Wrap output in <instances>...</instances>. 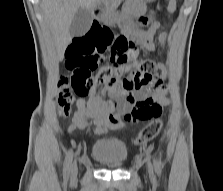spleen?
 Here are the masks:
<instances>
[{
  "instance_id": "spleen-1",
  "label": "spleen",
  "mask_w": 223,
  "mask_h": 191,
  "mask_svg": "<svg viewBox=\"0 0 223 191\" xmlns=\"http://www.w3.org/2000/svg\"><path fill=\"white\" fill-rule=\"evenodd\" d=\"M175 6H176L175 0H171V2H170V9H171V11H174Z\"/></svg>"
}]
</instances>
